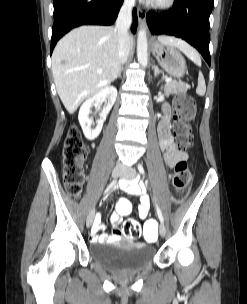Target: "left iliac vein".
Segmentation results:
<instances>
[{
	"label": "left iliac vein",
	"mask_w": 247,
	"mask_h": 304,
	"mask_svg": "<svg viewBox=\"0 0 247 304\" xmlns=\"http://www.w3.org/2000/svg\"><path fill=\"white\" fill-rule=\"evenodd\" d=\"M135 176L136 172L132 168H126L121 173V177L125 180H132ZM159 232L162 237L166 236V227L163 223L159 226Z\"/></svg>",
	"instance_id": "4c4485c4"
}]
</instances>
